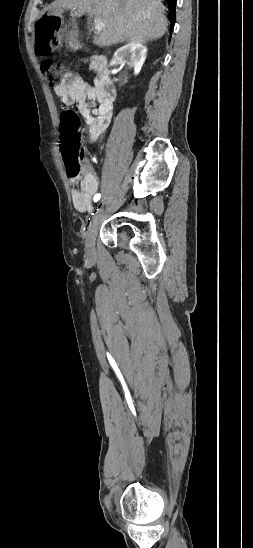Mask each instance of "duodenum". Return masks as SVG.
I'll return each mask as SVG.
<instances>
[{"mask_svg": "<svg viewBox=\"0 0 253 548\" xmlns=\"http://www.w3.org/2000/svg\"><path fill=\"white\" fill-rule=\"evenodd\" d=\"M92 62L97 73L96 88L105 98L113 101L116 96V87L110 75L107 57L95 54Z\"/></svg>", "mask_w": 253, "mask_h": 548, "instance_id": "410a0bca", "label": "duodenum"}]
</instances>
